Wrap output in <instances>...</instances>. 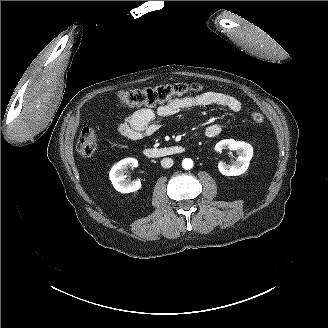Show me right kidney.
<instances>
[{"mask_svg": "<svg viewBox=\"0 0 328 328\" xmlns=\"http://www.w3.org/2000/svg\"><path fill=\"white\" fill-rule=\"evenodd\" d=\"M138 166V161L135 158H125L115 164L109 172V178L114 188L121 193H129L141 188L139 180L135 182H128L125 180L124 172L128 168H135Z\"/></svg>", "mask_w": 328, "mask_h": 328, "instance_id": "ca27d5eb", "label": "right kidney"}]
</instances>
